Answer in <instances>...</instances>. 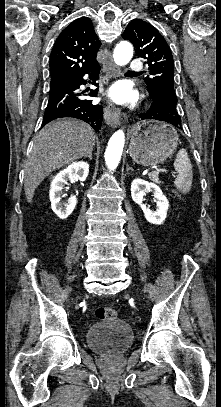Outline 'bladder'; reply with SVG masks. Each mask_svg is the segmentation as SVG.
<instances>
[{
	"label": "bladder",
	"mask_w": 221,
	"mask_h": 407,
	"mask_svg": "<svg viewBox=\"0 0 221 407\" xmlns=\"http://www.w3.org/2000/svg\"><path fill=\"white\" fill-rule=\"evenodd\" d=\"M134 340V332L123 319L94 323L86 330V343L100 354H115L128 350Z\"/></svg>",
	"instance_id": "1"
}]
</instances>
